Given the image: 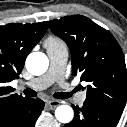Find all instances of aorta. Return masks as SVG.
<instances>
[{"label": "aorta", "instance_id": "762f6f07", "mask_svg": "<svg viewBox=\"0 0 127 127\" xmlns=\"http://www.w3.org/2000/svg\"><path fill=\"white\" fill-rule=\"evenodd\" d=\"M25 65L29 73L38 76L47 71L49 60L42 52H32L28 55ZM55 117L61 123H69L74 117V111L69 105H60L55 110Z\"/></svg>", "mask_w": 127, "mask_h": 127}]
</instances>
